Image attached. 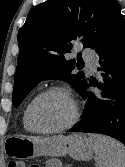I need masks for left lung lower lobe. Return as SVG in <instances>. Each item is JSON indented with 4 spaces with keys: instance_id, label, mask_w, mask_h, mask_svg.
<instances>
[{
    "instance_id": "0a47b994",
    "label": "left lung lower lobe",
    "mask_w": 125,
    "mask_h": 167,
    "mask_svg": "<svg viewBox=\"0 0 125 167\" xmlns=\"http://www.w3.org/2000/svg\"><path fill=\"white\" fill-rule=\"evenodd\" d=\"M100 58L103 82L97 85L102 90V100L93 93L88 97L82 119L69 132L98 133L111 136L125 145V22L120 15L112 25L103 43L95 50Z\"/></svg>"
}]
</instances>
